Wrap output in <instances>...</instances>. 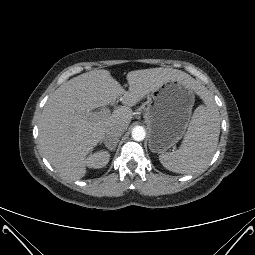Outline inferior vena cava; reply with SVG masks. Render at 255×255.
<instances>
[{"mask_svg":"<svg viewBox=\"0 0 255 255\" xmlns=\"http://www.w3.org/2000/svg\"><path fill=\"white\" fill-rule=\"evenodd\" d=\"M124 129L125 128L122 125H110L105 131V144L108 146H113L116 142L119 141V137L123 135Z\"/></svg>","mask_w":255,"mask_h":255,"instance_id":"obj_1","label":"inferior vena cava"}]
</instances>
